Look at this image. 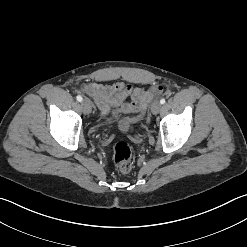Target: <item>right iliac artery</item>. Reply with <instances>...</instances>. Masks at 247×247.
Wrapping results in <instances>:
<instances>
[{"mask_svg":"<svg viewBox=\"0 0 247 247\" xmlns=\"http://www.w3.org/2000/svg\"><path fill=\"white\" fill-rule=\"evenodd\" d=\"M76 99H77V101H79V102H81V101L83 100L82 96H80V95H78V96L76 97Z\"/></svg>","mask_w":247,"mask_h":247,"instance_id":"1","label":"right iliac artery"}]
</instances>
